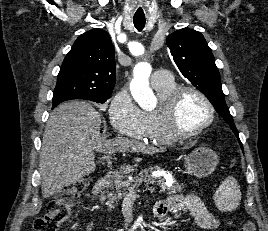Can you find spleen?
<instances>
[{
	"mask_svg": "<svg viewBox=\"0 0 268 231\" xmlns=\"http://www.w3.org/2000/svg\"><path fill=\"white\" fill-rule=\"evenodd\" d=\"M213 200L220 211L235 210L241 201L240 186L237 180L228 176L215 192Z\"/></svg>",
	"mask_w": 268,
	"mask_h": 231,
	"instance_id": "obj_1",
	"label": "spleen"
}]
</instances>
